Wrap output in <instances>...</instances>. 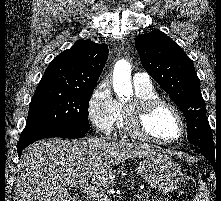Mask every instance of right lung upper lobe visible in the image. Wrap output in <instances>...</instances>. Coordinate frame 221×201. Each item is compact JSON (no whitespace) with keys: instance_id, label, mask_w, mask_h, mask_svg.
<instances>
[{"instance_id":"right-lung-upper-lobe-1","label":"right lung upper lobe","mask_w":221,"mask_h":201,"mask_svg":"<svg viewBox=\"0 0 221 201\" xmlns=\"http://www.w3.org/2000/svg\"><path fill=\"white\" fill-rule=\"evenodd\" d=\"M106 44L90 40L77 41L48 65L37 89L63 91L94 90L108 58Z\"/></svg>"}]
</instances>
